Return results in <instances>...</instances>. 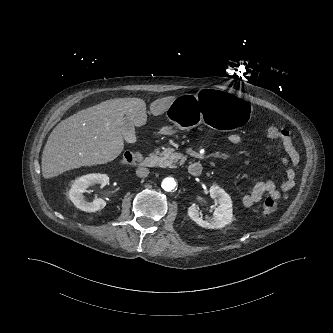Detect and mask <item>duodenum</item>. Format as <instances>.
Returning <instances> with one entry per match:
<instances>
[{
    "label": "duodenum",
    "mask_w": 333,
    "mask_h": 333,
    "mask_svg": "<svg viewBox=\"0 0 333 333\" xmlns=\"http://www.w3.org/2000/svg\"><path fill=\"white\" fill-rule=\"evenodd\" d=\"M157 163H158V161L154 156H149V157L142 158L139 161V167L140 168H153V167L157 166ZM202 170H203L202 165L198 161L191 162L188 166L189 174L192 176H195V177L200 176L202 173Z\"/></svg>",
    "instance_id": "1"
}]
</instances>
